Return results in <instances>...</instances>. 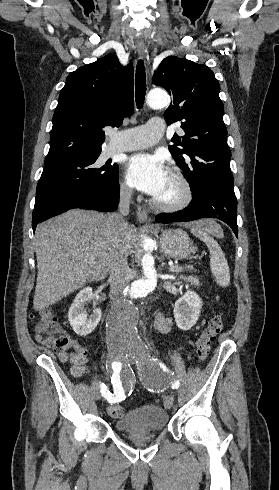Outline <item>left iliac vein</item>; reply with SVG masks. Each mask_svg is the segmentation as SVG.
Here are the masks:
<instances>
[{
  "label": "left iliac vein",
  "instance_id": "left-iliac-vein-1",
  "mask_svg": "<svg viewBox=\"0 0 279 490\" xmlns=\"http://www.w3.org/2000/svg\"><path fill=\"white\" fill-rule=\"evenodd\" d=\"M133 358L136 361H140V360L143 359V356L140 355V354H136V355H134ZM173 403H174V397H173V395L172 394L167 395L166 398H165V407L167 409H171L172 406H173Z\"/></svg>",
  "mask_w": 279,
  "mask_h": 490
}]
</instances>
